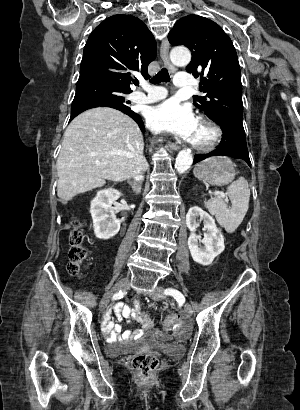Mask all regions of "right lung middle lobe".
<instances>
[{
	"label": "right lung middle lobe",
	"instance_id": "1",
	"mask_svg": "<svg viewBox=\"0 0 300 410\" xmlns=\"http://www.w3.org/2000/svg\"><path fill=\"white\" fill-rule=\"evenodd\" d=\"M129 93L130 91L117 89L103 83L77 82L76 94L72 102L71 111L100 103L129 108L130 102L125 100V95Z\"/></svg>",
	"mask_w": 300,
	"mask_h": 410
}]
</instances>
